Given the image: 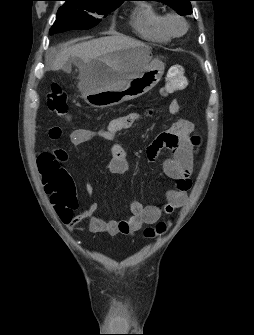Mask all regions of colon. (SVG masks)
<instances>
[{
    "instance_id": "1",
    "label": "colon",
    "mask_w": 254,
    "mask_h": 335,
    "mask_svg": "<svg viewBox=\"0 0 254 335\" xmlns=\"http://www.w3.org/2000/svg\"><path fill=\"white\" fill-rule=\"evenodd\" d=\"M187 86V78L185 70L181 65H173L169 68L166 76V86L164 94H170L184 89ZM47 104L51 112L58 116H67L69 114V106L67 95L63 89L57 85L52 86L47 95ZM180 108V107H179ZM200 143L198 136H192L190 144L197 147ZM60 150L42 153L38 157V168L43 178L45 191L51 195L55 207L59 214L62 206L69 204L76 206L72 198V187L66 170L59 162ZM168 224L158 222L153 227H147L144 231L147 237H154L162 234L167 230Z\"/></svg>"
}]
</instances>
